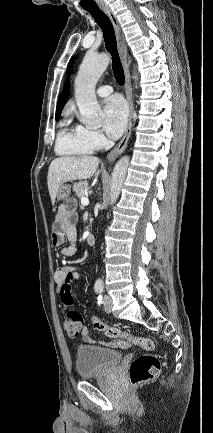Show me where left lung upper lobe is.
Listing matches in <instances>:
<instances>
[{"label": "left lung upper lobe", "mask_w": 213, "mask_h": 433, "mask_svg": "<svg viewBox=\"0 0 213 433\" xmlns=\"http://www.w3.org/2000/svg\"><path fill=\"white\" fill-rule=\"evenodd\" d=\"M75 60V56L74 57H72V59L70 60V62H69V65H68V68H70L71 67V65H72V63H73V61Z\"/></svg>", "instance_id": "5c2ea615"}]
</instances>
